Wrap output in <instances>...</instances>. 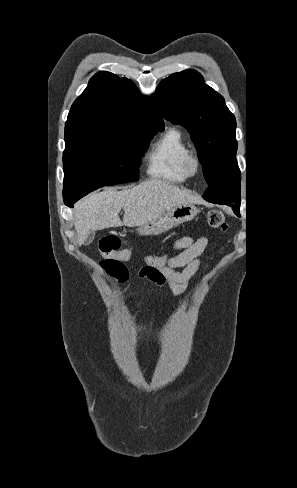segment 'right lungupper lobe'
Returning a JSON list of instances; mask_svg holds the SVG:
<instances>
[{
    "instance_id": "right-lung-upper-lobe-1",
    "label": "right lung upper lobe",
    "mask_w": 297,
    "mask_h": 488,
    "mask_svg": "<svg viewBox=\"0 0 297 488\" xmlns=\"http://www.w3.org/2000/svg\"><path fill=\"white\" fill-rule=\"evenodd\" d=\"M140 126L164 129L151 99L127 78L99 72L75 100L65 124V142L124 135Z\"/></svg>"
}]
</instances>
